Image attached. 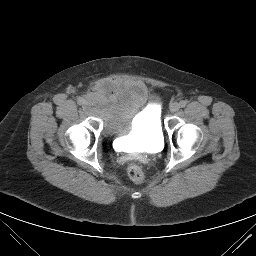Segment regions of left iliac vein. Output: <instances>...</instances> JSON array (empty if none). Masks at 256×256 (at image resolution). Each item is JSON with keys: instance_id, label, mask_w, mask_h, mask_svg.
Here are the masks:
<instances>
[{"instance_id": "1", "label": "left iliac vein", "mask_w": 256, "mask_h": 256, "mask_svg": "<svg viewBox=\"0 0 256 256\" xmlns=\"http://www.w3.org/2000/svg\"><path fill=\"white\" fill-rule=\"evenodd\" d=\"M179 104L174 102L170 105L169 109H170V112L174 113V112H177L179 110Z\"/></svg>"}]
</instances>
